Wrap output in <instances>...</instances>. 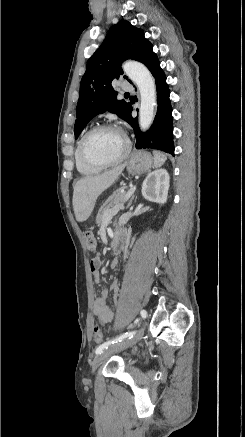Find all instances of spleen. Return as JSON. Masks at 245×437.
Wrapping results in <instances>:
<instances>
[{
	"mask_svg": "<svg viewBox=\"0 0 245 437\" xmlns=\"http://www.w3.org/2000/svg\"><path fill=\"white\" fill-rule=\"evenodd\" d=\"M153 155H154V166L156 168L161 167L167 159L166 155L158 150H154Z\"/></svg>",
	"mask_w": 245,
	"mask_h": 437,
	"instance_id": "1",
	"label": "spleen"
}]
</instances>
